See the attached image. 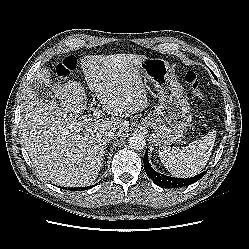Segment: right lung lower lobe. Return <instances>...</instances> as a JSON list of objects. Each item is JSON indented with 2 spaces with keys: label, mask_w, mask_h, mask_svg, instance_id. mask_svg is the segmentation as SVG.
Masks as SVG:
<instances>
[{
  "label": "right lung lower lobe",
  "mask_w": 249,
  "mask_h": 249,
  "mask_svg": "<svg viewBox=\"0 0 249 249\" xmlns=\"http://www.w3.org/2000/svg\"><path fill=\"white\" fill-rule=\"evenodd\" d=\"M89 187H83V188H79V189H84V190H86V189H88ZM70 190V189H69ZM71 190H74V191H77L78 190V188H71Z\"/></svg>",
  "instance_id": "98d812e1"
}]
</instances>
